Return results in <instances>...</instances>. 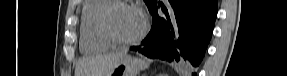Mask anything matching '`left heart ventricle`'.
<instances>
[{
	"instance_id": "obj_1",
	"label": "left heart ventricle",
	"mask_w": 287,
	"mask_h": 76,
	"mask_svg": "<svg viewBox=\"0 0 287 76\" xmlns=\"http://www.w3.org/2000/svg\"><path fill=\"white\" fill-rule=\"evenodd\" d=\"M143 22V18L134 7H116L110 17L111 27L122 38L136 36L141 31Z\"/></svg>"
}]
</instances>
